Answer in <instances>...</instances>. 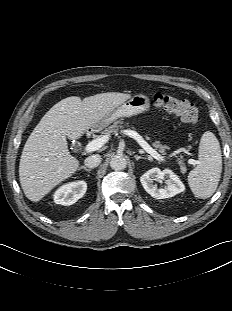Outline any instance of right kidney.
Masks as SVG:
<instances>
[{
  "mask_svg": "<svg viewBox=\"0 0 232 311\" xmlns=\"http://www.w3.org/2000/svg\"><path fill=\"white\" fill-rule=\"evenodd\" d=\"M86 190L87 184L85 181L65 184L55 191L53 195L54 202L64 206L72 205L84 196Z\"/></svg>",
  "mask_w": 232,
  "mask_h": 311,
  "instance_id": "right-kidney-1",
  "label": "right kidney"
}]
</instances>
